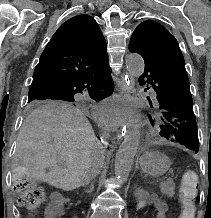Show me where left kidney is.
Returning <instances> with one entry per match:
<instances>
[{
	"mask_svg": "<svg viewBox=\"0 0 211 218\" xmlns=\"http://www.w3.org/2000/svg\"><path fill=\"white\" fill-rule=\"evenodd\" d=\"M136 210H147V202H136ZM153 218H164L171 212V207H167V202L164 198H156L153 207Z\"/></svg>",
	"mask_w": 211,
	"mask_h": 218,
	"instance_id": "left-kidney-1",
	"label": "left kidney"
}]
</instances>
